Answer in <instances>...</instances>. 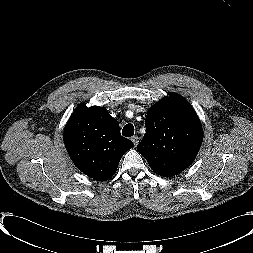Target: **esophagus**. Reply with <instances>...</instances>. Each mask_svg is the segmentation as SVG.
<instances>
[{"mask_svg":"<svg viewBox=\"0 0 253 253\" xmlns=\"http://www.w3.org/2000/svg\"><path fill=\"white\" fill-rule=\"evenodd\" d=\"M131 140H132L134 146H137V144L139 143V137L138 136H132Z\"/></svg>","mask_w":253,"mask_h":253,"instance_id":"1","label":"esophagus"}]
</instances>
